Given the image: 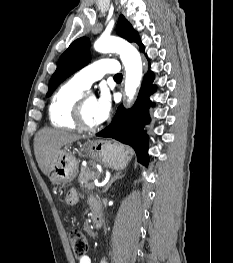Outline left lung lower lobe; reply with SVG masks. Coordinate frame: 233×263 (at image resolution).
Returning <instances> with one entry per match:
<instances>
[{
    "label": "left lung lower lobe",
    "mask_w": 233,
    "mask_h": 263,
    "mask_svg": "<svg viewBox=\"0 0 233 263\" xmlns=\"http://www.w3.org/2000/svg\"><path fill=\"white\" fill-rule=\"evenodd\" d=\"M140 50L144 52V46ZM153 78L154 74L149 70L134 106L129 110H125L120 105L112 123L97 134V136L113 138L130 145L134 149L138 161L145 165L148 164L149 159L147 135L143 130V126L150 120L148 110L152 103L149 100V95L156 90V86L151 84Z\"/></svg>",
    "instance_id": "0a47b994"
}]
</instances>
